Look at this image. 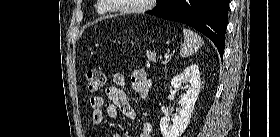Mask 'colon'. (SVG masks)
<instances>
[{
	"mask_svg": "<svg viewBox=\"0 0 280 137\" xmlns=\"http://www.w3.org/2000/svg\"><path fill=\"white\" fill-rule=\"evenodd\" d=\"M105 83V75L100 69H91L86 73L85 84L89 91H98Z\"/></svg>",
	"mask_w": 280,
	"mask_h": 137,
	"instance_id": "1",
	"label": "colon"
}]
</instances>
